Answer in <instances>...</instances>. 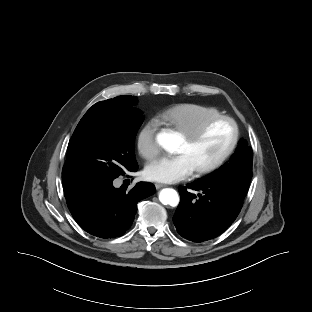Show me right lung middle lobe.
I'll return each instance as SVG.
<instances>
[{"label":"right lung middle lobe","instance_id":"dd1d6c3e","mask_svg":"<svg viewBox=\"0 0 312 312\" xmlns=\"http://www.w3.org/2000/svg\"><path fill=\"white\" fill-rule=\"evenodd\" d=\"M136 100L126 96L98 102L82 117L62 170L65 198L137 167L134 140L144 117L133 107Z\"/></svg>","mask_w":312,"mask_h":312}]
</instances>
